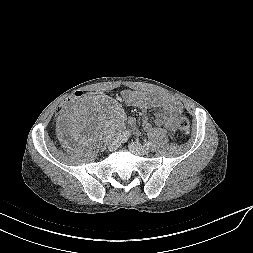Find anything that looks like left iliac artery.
<instances>
[{
	"label": "left iliac artery",
	"mask_w": 253,
	"mask_h": 253,
	"mask_svg": "<svg viewBox=\"0 0 253 253\" xmlns=\"http://www.w3.org/2000/svg\"><path fill=\"white\" fill-rule=\"evenodd\" d=\"M152 144L151 141H147L145 145L150 146Z\"/></svg>",
	"instance_id": "1"
}]
</instances>
